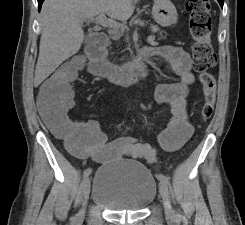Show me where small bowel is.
Here are the masks:
<instances>
[{"instance_id": "small-bowel-1", "label": "small bowel", "mask_w": 245, "mask_h": 225, "mask_svg": "<svg viewBox=\"0 0 245 225\" xmlns=\"http://www.w3.org/2000/svg\"><path fill=\"white\" fill-rule=\"evenodd\" d=\"M144 52H150L151 58L156 61L165 62L168 71L179 79L176 83L158 85L155 92V100L160 104H167L171 110L170 122L158 135L157 142L164 151L175 152L190 139L194 129L186 112L189 89L195 81L191 70L192 60L185 49L177 46H156ZM67 65L65 61L60 66L65 68ZM82 65L83 60H78V66L81 68ZM37 103L45 120H54L62 125L68 124L76 130L75 146L70 151L78 159L93 160L100 164H107L118 158L144 159L151 164L156 162L153 146L143 139L128 137L108 139L97 120L66 121L64 113L74 107L72 88L69 95L57 106L39 88Z\"/></svg>"}]
</instances>
